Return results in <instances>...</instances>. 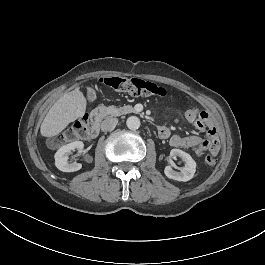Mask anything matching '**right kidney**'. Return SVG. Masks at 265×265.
Returning <instances> with one entry per match:
<instances>
[{
  "label": "right kidney",
  "mask_w": 265,
  "mask_h": 265,
  "mask_svg": "<svg viewBox=\"0 0 265 265\" xmlns=\"http://www.w3.org/2000/svg\"><path fill=\"white\" fill-rule=\"evenodd\" d=\"M71 151H84V145L81 141H74L66 145L61 146L55 153V166L58 170L66 173L76 172L82 168V164L73 163L69 164L68 153Z\"/></svg>",
  "instance_id": "obj_1"
}]
</instances>
